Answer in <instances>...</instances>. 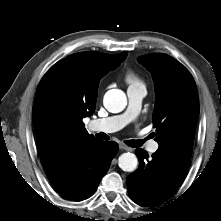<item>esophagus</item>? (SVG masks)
<instances>
[{"label": "esophagus", "mask_w": 221, "mask_h": 221, "mask_svg": "<svg viewBox=\"0 0 221 221\" xmlns=\"http://www.w3.org/2000/svg\"><path fill=\"white\" fill-rule=\"evenodd\" d=\"M119 148L122 149V150H125V151H132L133 150L131 147H128L124 144H120Z\"/></svg>", "instance_id": "esophagus-1"}]
</instances>
